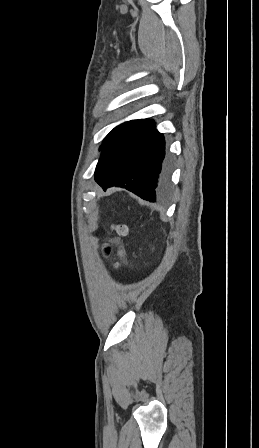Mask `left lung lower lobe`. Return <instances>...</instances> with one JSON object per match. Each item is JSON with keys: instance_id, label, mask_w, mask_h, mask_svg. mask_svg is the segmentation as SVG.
Segmentation results:
<instances>
[{"instance_id": "0a47b994", "label": "left lung lower lobe", "mask_w": 259, "mask_h": 448, "mask_svg": "<svg viewBox=\"0 0 259 448\" xmlns=\"http://www.w3.org/2000/svg\"><path fill=\"white\" fill-rule=\"evenodd\" d=\"M171 163L165 159V139L155 121L126 122L101 148L95 181L103 188L123 187L154 201L167 190Z\"/></svg>"}]
</instances>
